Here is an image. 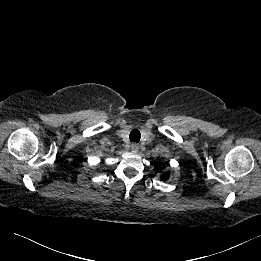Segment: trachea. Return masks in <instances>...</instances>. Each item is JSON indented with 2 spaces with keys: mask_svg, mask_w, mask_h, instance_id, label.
Returning <instances> with one entry per match:
<instances>
[{
  "mask_svg": "<svg viewBox=\"0 0 261 261\" xmlns=\"http://www.w3.org/2000/svg\"><path fill=\"white\" fill-rule=\"evenodd\" d=\"M141 134L138 129H133L129 135L130 141L138 142L140 140Z\"/></svg>",
  "mask_w": 261,
  "mask_h": 261,
  "instance_id": "trachea-1",
  "label": "trachea"
}]
</instances>
